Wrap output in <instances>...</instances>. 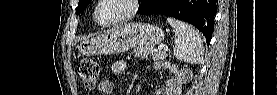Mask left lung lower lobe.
I'll return each instance as SVG.
<instances>
[{
    "label": "left lung lower lobe",
    "instance_id": "obj_1",
    "mask_svg": "<svg viewBox=\"0 0 277 95\" xmlns=\"http://www.w3.org/2000/svg\"><path fill=\"white\" fill-rule=\"evenodd\" d=\"M218 0H151L137 13L162 14L186 21L199 29L209 42L214 30Z\"/></svg>",
    "mask_w": 277,
    "mask_h": 95
}]
</instances>
